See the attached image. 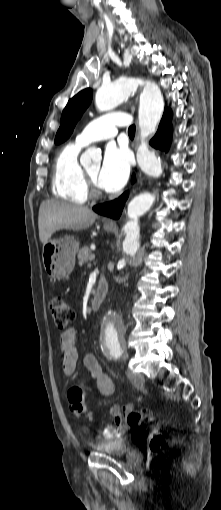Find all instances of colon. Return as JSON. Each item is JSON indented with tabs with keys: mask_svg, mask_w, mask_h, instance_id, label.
<instances>
[{
	"mask_svg": "<svg viewBox=\"0 0 221 510\" xmlns=\"http://www.w3.org/2000/svg\"><path fill=\"white\" fill-rule=\"evenodd\" d=\"M50 312L56 327L60 330H65L75 317L73 308L60 297H54L51 299ZM111 411L115 412L114 410ZM90 419H92L91 416ZM125 420L130 427H138L144 422H151L153 417L146 411H130L126 413ZM102 432L105 436H107L111 433V430L109 427H106L102 430ZM164 442V436L158 434L152 438L150 442V449L152 451H156L163 446Z\"/></svg>",
	"mask_w": 221,
	"mask_h": 510,
	"instance_id": "colon-1",
	"label": "colon"
}]
</instances>
